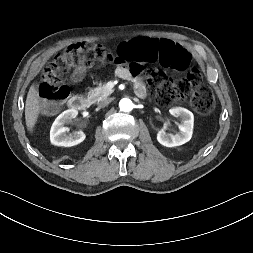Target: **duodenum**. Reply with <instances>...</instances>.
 <instances>
[{"label":"duodenum","instance_id":"1","mask_svg":"<svg viewBox=\"0 0 253 253\" xmlns=\"http://www.w3.org/2000/svg\"><path fill=\"white\" fill-rule=\"evenodd\" d=\"M89 106L90 99L85 96L75 95L69 100V107L76 111L86 110Z\"/></svg>","mask_w":253,"mask_h":253}]
</instances>
